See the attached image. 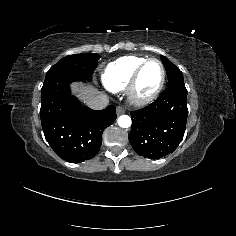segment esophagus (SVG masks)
Returning a JSON list of instances; mask_svg holds the SVG:
<instances>
[{
    "label": "esophagus",
    "instance_id": "34e87169",
    "mask_svg": "<svg viewBox=\"0 0 236 236\" xmlns=\"http://www.w3.org/2000/svg\"><path fill=\"white\" fill-rule=\"evenodd\" d=\"M116 112H117V115H121L125 112V110L121 106H118L116 108Z\"/></svg>",
    "mask_w": 236,
    "mask_h": 236
}]
</instances>
